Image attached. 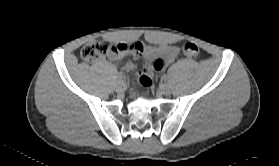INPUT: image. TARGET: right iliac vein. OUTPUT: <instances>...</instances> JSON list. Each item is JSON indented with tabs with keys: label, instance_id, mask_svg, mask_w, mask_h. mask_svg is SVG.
Returning <instances> with one entry per match:
<instances>
[{
	"label": "right iliac vein",
	"instance_id": "right-iliac-vein-1",
	"mask_svg": "<svg viewBox=\"0 0 279 166\" xmlns=\"http://www.w3.org/2000/svg\"><path fill=\"white\" fill-rule=\"evenodd\" d=\"M125 89V82L123 80H119L115 85V90L117 92H123Z\"/></svg>",
	"mask_w": 279,
	"mask_h": 166
}]
</instances>
